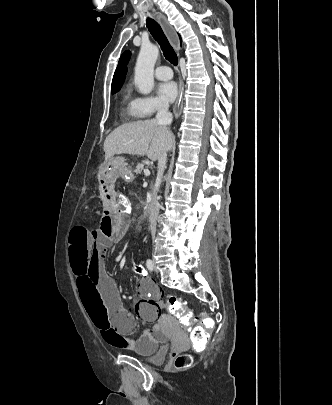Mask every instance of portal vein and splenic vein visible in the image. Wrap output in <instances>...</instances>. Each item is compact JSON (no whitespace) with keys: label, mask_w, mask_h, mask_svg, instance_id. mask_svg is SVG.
<instances>
[{"label":"portal vein and splenic vein","mask_w":332,"mask_h":405,"mask_svg":"<svg viewBox=\"0 0 332 405\" xmlns=\"http://www.w3.org/2000/svg\"><path fill=\"white\" fill-rule=\"evenodd\" d=\"M144 174H145V176H149V175H150V171H149L148 169H145V170H144Z\"/></svg>","instance_id":"18ae733b"}]
</instances>
